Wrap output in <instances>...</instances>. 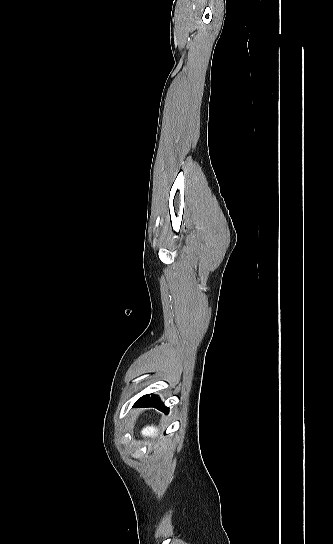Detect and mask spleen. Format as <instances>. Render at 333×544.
Wrapping results in <instances>:
<instances>
[{
	"label": "spleen",
	"mask_w": 333,
	"mask_h": 544,
	"mask_svg": "<svg viewBox=\"0 0 333 544\" xmlns=\"http://www.w3.org/2000/svg\"><path fill=\"white\" fill-rule=\"evenodd\" d=\"M143 436L155 437L158 434V429L154 426H146L141 431Z\"/></svg>",
	"instance_id": "1"
}]
</instances>
